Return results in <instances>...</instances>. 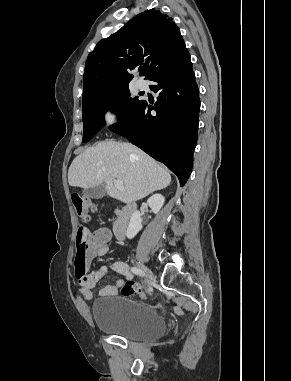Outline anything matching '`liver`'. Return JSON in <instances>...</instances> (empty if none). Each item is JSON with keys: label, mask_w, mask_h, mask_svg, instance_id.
<instances>
[{"label": "liver", "mask_w": 291, "mask_h": 381, "mask_svg": "<svg viewBox=\"0 0 291 381\" xmlns=\"http://www.w3.org/2000/svg\"><path fill=\"white\" fill-rule=\"evenodd\" d=\"M114 180H121L124 189L115 187ZM68 182L72 187L85 189L104 184L110 197L132 203L166 188L171 175L138 147L104 141L87 148L73 160Z\"/></svg>", "instance_id": "6515ba94"}]
</instances>
